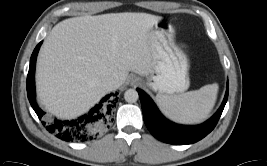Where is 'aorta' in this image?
<instances>
[{"label":"aorta","instance_id":"762f6f07","mask_svg":"<svg viewBox=\"0 0 267 166\" xmlns=\"http://www.w3.org/2000/svg\"><path fill=\"white\" fill-rule=\"evenodd\" d=\"M139 95L138 92L135 89H128L125 93H124V99L126 102L129 103H134L138 100Z\"/></svg>","mask_w":267,"mask_h":166}]
</instances>
